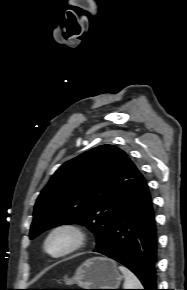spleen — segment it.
Wrapping results in <instances>:
<instances>
[{
    "label": "spleen",
    "mask_w": 187,
    "mask_h": 290,
    "mask_svg": "<svg viewBox=\"0 0 187 290\" xmlns=\"http://www.w3.org/2000/svg\"><path fill=\"white\" fill-rule=\"evenodd\" d=\"M119 270L123 273L125 278L124 289H142L140 281L129 269L120 265Z\"/></svg>",
    "instance_id": "3e777b00"
}]
</instances>
